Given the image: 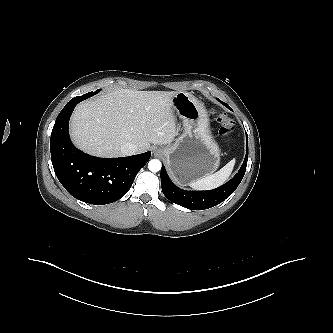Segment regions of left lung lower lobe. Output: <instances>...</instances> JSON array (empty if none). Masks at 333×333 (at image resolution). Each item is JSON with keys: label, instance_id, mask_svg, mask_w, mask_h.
I'll return each instance as SVG.
<instances>
[{"label": "left lung lower lobe", "instance_id": "left-lung-lower-lobe-1", "mask_svg": "<svg viewBox=\"0 0 333 333\" xmlns=\"http://www.w3.org/2000/svg\"><path fill=\"white\" fill-rule=\"evenodd\" d=\"M218 101L232 110L226 103ZM248 137L246 135V156L238 173L226 184L208 191H186L173 184L167 175L165 167L161 168V187L164 195L173 203L192 210H204L223 202L240 184L247 166Z\"/></svg>", "mask_w": 333, "mask_h": 333}]
</instances>
